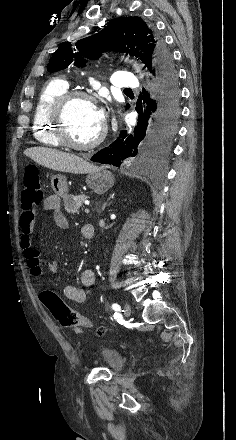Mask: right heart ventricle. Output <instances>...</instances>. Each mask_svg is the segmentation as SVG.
<instances>
[{"mask_svg":"<svg viewBox=\"0 0 236 440\" xmlns=\"http://www.w3.org/2000/svg\"><path fill=\"white\" fill-rule=\"evenodd\" d=\"M69 89L68 81L63 77L49 80L40 91L33 113V135L42 145L61 147L53 132V125L49 118L50 107L54 100Z\"/></svg>","mask_w":236,"mask_h":440,"instance_id":"1","label":"right heart ventricle"}]
</instances>
